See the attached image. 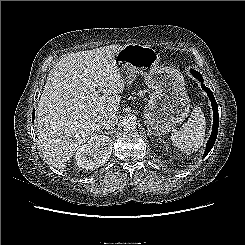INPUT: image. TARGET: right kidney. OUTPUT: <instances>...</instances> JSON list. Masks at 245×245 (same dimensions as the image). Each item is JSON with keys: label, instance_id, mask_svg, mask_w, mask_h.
<instances>
[{"label": "right kidney", "instance_id": "1", "mask_svg": "<svg viewBox=\"0 0 245 245\" xmlns=\"http://www.w3.org/2000/svg\"><path fill=\"white\" fill-rule=\"evenodd\" d=\"M112 139L104 135L91 137L75 154L76 164L85 170H94L102 166L112 152Z\"/></svg>", "mask_w": 245, "mask_h": 245}]
</instances>
